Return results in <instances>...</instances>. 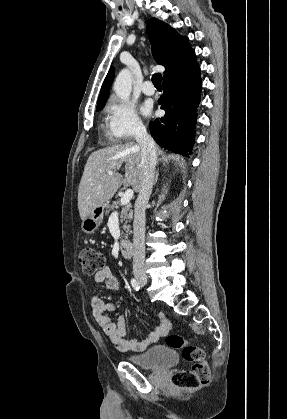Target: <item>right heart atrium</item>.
I'll use <instances>...</instances> for the list:
<instances>
[{"instance_id": "1", "label": "right heart atrium", "mask_w": 287, "mask_h": 419, "mask_svg": "<svg viewBox=\"0 0 287 419\" xmlns=\"http://www.w3.org/2000/svg\"><path fill=\"white\" fill-rule=\"evenodd\" d=\"M107 110L109 127L114 138L130 139L143 131V123L131 102L113 99Z\"/></svg>"}]
</instances>
